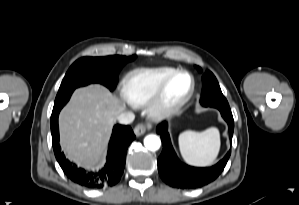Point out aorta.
I'll return each instance as SVG.
<instances>
[{"mask_svg":"<svg viewBox=\"0 0 299 205\" xmlns=\"http://www.w3.org/2000/svg\"><path fill=\"white\" fill-rule=\"evenodd\" d=\"M144 145L148 150L156 151L161 146V140L157 135L150 134L144 138Z\"/></svg>","mask_w":299,"mask_h":205,"instance_id":"obj_1","label":"aorta"}]
</instances>
